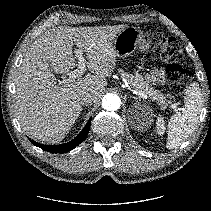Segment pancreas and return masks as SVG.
I'll use <instances>...</instances> for the list:
<instances>
[{"mask_svg": "<svg viewBox=\"0 0 211 211\" xmlns=\"http://www.w3.org/2000/svg\"><path fill=\"white\" fill-rule=\"evenodd\" d=\"M122 76L126 79L127 83L135 90H140L145 93L151 100L156 101L161 108L165 109L171 102L167 99L168 97L159 90H155L150 84L144 80L143 76L137 72L132 75L124 70H120Z\"/></svg>", "mask_w": 211, "mask_h": 211, "instance_id": "1", "label": "pancreas"}]
</instances>
